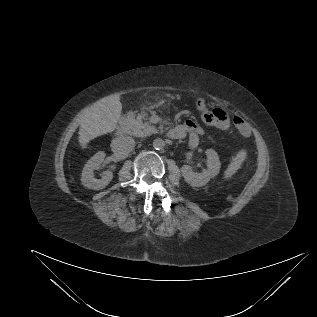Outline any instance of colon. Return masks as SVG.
I'll list each match as a JSON object with an SVG mask.
<instances>
[{"label": "colon", "instance_id": "colon-1", "mask_svg": "<svg viewBox=\"0 0 317 317\" xmlns=\"http://www.w3.org/2000/svg\"><path fill=\"white\" fill-rule=\"evenodd\" d=\"M198 108L201 111V118L206 124H222L224 122L226 113L221 109H208L203 100L198 102Z\"/></svg>", "mask_w": 317, "mask_h": 317}]
</instances>
